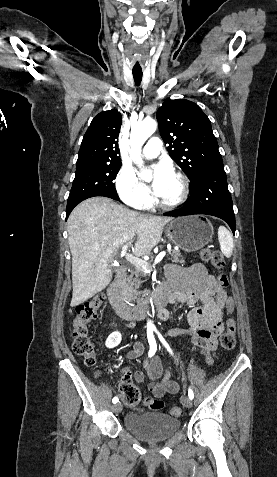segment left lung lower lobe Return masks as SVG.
<instances>
[{
	"label": "left lung lower lobe",
	"mask_w": 277,
	"mask_h": 477,
	"mask_svg": "<svg viewBox=\"0 0 277 477\" xmlns=\"http://www.w3.org/2000/svg\"><path fill=\"white\" fill-rule=\"evenodd\" d=\"M206 214L223 219L235 233V215L223 163L205 167L191 183L189 202L165 216Z\"/></svg>",
	"instance_id": "obj_1"
}]
</instances>
